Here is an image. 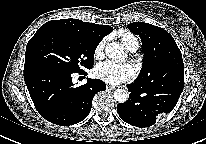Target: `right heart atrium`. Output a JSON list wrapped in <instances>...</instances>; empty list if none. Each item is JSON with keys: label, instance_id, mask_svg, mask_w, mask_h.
Wrapping results in <instances>:
<instances>
[{"label": "right heart atrium", "instance_id": "1", "mask_svg": "<svg viewBox=\"0 0 206 144\" xmlns=\"http://www.w3.org/2000/svg\"><path fill=\"white\" fill-rule=\"evenodd\" d=\"M105 43H106V40L105 39H102L95 47V51H94V54H95V57L96 58H101L103 56V51H104V47H105Z\"/></svg>", "mask_w": 206, "mask_h": 144}]
</instances>
